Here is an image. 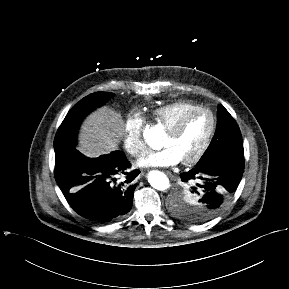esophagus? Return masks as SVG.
<instances>
[{
  "mask_svg": "<svg viewBox=\"0 0 289 289\" xmlns=\"http://www.w3.org/2000/svg\"><path fill=\"white\" fill-rule=\"evenodd\" d=\"M167 175H168L169 177H173V175H172L170 172H167Z\"/></svg>",
  "mask_w": 289,
  "mask_h": 289,
  "instance_id": "34e87169",
  "label": "esophagus"
}]
</instances>
